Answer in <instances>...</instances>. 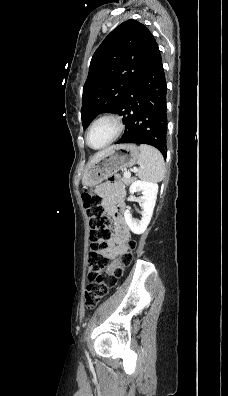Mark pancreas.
I'll return each instance as SVG.
<instances>
[{"label": "pancreas", "instance_id": "cf45deb5", "mask_svg": "<svg viewBox=\"0 0 228 396\" xmlns=\"http://www.w3.org/2000/svg\"><path fill=\"white\" fill-rule=\"evenodd\" d=\"M134 181V178L133 177H131V176H123V182L126 184V185H129V184H131L132 182Z\"/></svg>", "mask_w": 228, "mask_h": 396}]
</instances>
